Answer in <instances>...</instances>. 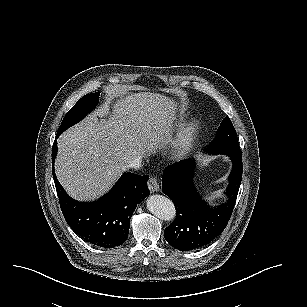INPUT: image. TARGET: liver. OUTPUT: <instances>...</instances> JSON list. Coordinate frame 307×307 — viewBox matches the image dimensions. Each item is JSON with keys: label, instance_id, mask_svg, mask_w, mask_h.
<instances>
[{"label": "liver", "instance_id": "1", "mask_svg": "<svg viewBox=\"0 0 307 307\" xmlns=\"http://www.w3.org/2000/svg\"><path fill=\"white\" fill-rule=\"evenodd\" d=\"M181 106L157 92L107 94L57 138L54 171L66 194L78 202H95L113 188L134 158L172 154L178 121L188 116Z\"/></svg>", "mask_w": 307, "mask_h": 307}]
</instances>
